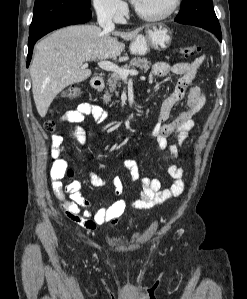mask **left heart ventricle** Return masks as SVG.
Wrapping results in <instances>:
<instances>
[{
    "label": "left heart ventricle",
    "instance_id": "obj_1",
    "mask_svg": "<svg viewBox=\"0 0 247 299\" xmlns=\"http://www.w3.org/2000/svg\"><path fill=\"white\" fill-rule=\"evenodd\" d=\"M171 0H139L136 7L149 14L160 13L170 4Z\"/></svg>",
    "mask_w": 247,
    "mask_h": 299
}]
</instances>
